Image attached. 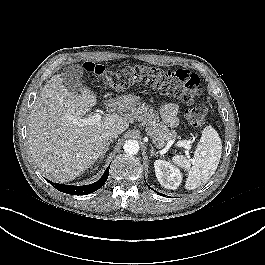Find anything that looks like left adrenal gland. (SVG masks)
<instances>
[{
  "mask_svg": "<svg viewBox=\"0 0 265 265\" xmlns=\"http://www.w3.org/2000/svg\"><path fill=\"white\" fill-rule=\"evenodd\" d=\"M150 147H151V149H150L151 156L157 155L158 153L154 151V147L152 146V144H150Z\"/></svg>",
  "mask_w": 265,
  "mask_h": 265,
  "instance_id": "left-adrenal-gland-1",
  "label": "left adrenal gland"
}]
</instances>
